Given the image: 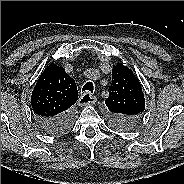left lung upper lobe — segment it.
Listing matches in <instances>:
<instances>
[{
    "label": "left lung upper lobe",
    "instance_id": "left-lung-upper-lobe-1",
    "mask_svg": "<svg viewBox=\"0 0 184 184\" xmlns=\"http://www.w3.org/2000/svg\"><path fill=\"white\" fill-rule=\"evenodd\" d=\"M105 104L111 124L118 129H131L143 116L145 99L141 84L122 63L112 69V83Z\"/></svg>",
    "mask_w": 184,
    "mask_h": 184
}]
</instances>
